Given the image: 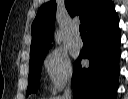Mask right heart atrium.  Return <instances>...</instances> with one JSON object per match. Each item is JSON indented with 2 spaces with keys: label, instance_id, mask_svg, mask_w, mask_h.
I'll list each match as a JSON object with an SVG mask.
<instances>
[{
  "label": "right heart atrium",
  "instance_id": "obj_1",
  "mask_svg": "<svg viewBox=\"0 0 128 99\" xmlns=\"http://www.w3.org/2000/svg\"><path fill=\"white\" fill-rule=\"evenodd\" d=\"M44 67L54 90L60 91L70 84L73 76L71 61L66 53L52 50L44 59Z\"/></svg>",
  "mask_w": 128,
  "mask_h": 99
}]
</instances>
